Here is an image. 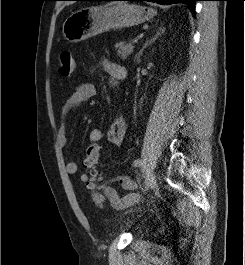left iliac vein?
Instances as JSON below:
<instances>
[{"label": "left iliac vein", "instance_id": "1", "mask_svg": "<svg viewBox=\"0 0 245 265\" xmlns=\"http://www.w3.org/2000/svg\"><path fill=\"white\" fill-rule=\"evenodd\" d=\"M157 186V179H156V174L151 172L148 174L146 181H145V189L150 190L154 189Z\"/></svg>", "mask_w": 245, "mask_h": 265}]
</instances>
